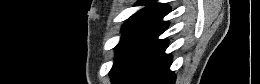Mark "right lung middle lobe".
<instances>
[{
    "mask_svg": "<svg viewBox=\"0 0 260 84\" xmlns=\"http://www.w3.org/2000/svg\"><path fill=\"white\" fill-rule=\"evenodd\" d=\"M165 28H132L116 48V61L111 70L114 84H132L164 52L167 42L157 40Z\"/></svg>",
    "mask_w": 260,
    "mask_h": 84,
    "instance_id": "dd1d6c3e",
    "label": "right lung middle lobe"
}]
</instances>
